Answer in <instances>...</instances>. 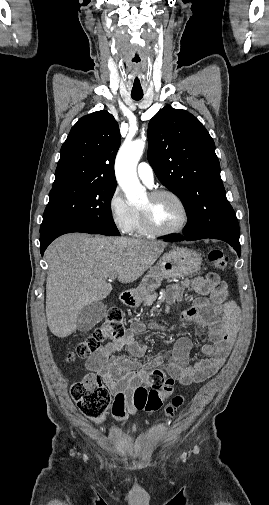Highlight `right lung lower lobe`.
I'll return each mask as SVG.
<instances>
[{
  "label": "right lung lower lobe",
  "instance_id": "right-lung-lower-lobe-1",
  "mask_svg": "<svg viewBox=\"0 0 269 505\" xmlns=\"http://www.w3.org/2000/svg\"><path fill=\"white\" fill-rule=\"evenodd\" d=\"M71 232H84V233H90V234H100V233L92 231V230L84 229V228L74 226V225H69V224H58V225L51 226V227L47 228L46 230H44L43 232H41V235H40L41 255L44 254L45 249L54 239H56L57 237H59L63 234L71 233Z\"/></svg>",
  "mask_w": 269,
  "mask_h": 505
}]
</instances>
